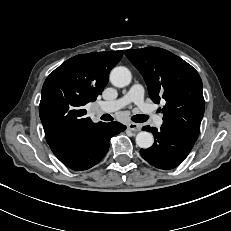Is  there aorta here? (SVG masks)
<instances>
[{"instance_id":"762f6f07","label":"aorta","mask_w":231,"mask_h":231,"mask_svg":"<svg viewBox=\"0 0 231 231\" xmlns=\"http://www.w3.org/2000/svg\"><path fill=\"white\" fill-rule=\"evenodd\" d=\"M132 79L128 68L119 66L112 69L110 73V82L115 87L123 88L130 84ZM153 135L147 131H141L136 135V144L143 149L150 148L153 145Z\"/></svg>"}]
</instances>
